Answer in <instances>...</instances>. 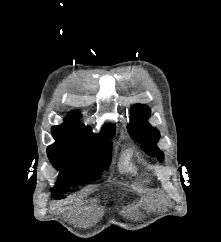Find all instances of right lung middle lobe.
<instances>
[{"label":"right lung middle lobe","mask_w":221,"mask_h":242,"mask_svg":"<svg viewBox=\"0 0 221 242\" xmlns=\"http://www.w3.org/2000/svg\"><path fill=\"white\" fill-rule=\"evenodd\" d=\"M55 143L47 148L48 158L59 173L53 197L62 199L70 185H84L108 169L113 136L89 139L77 134L52 132Z\"/></svg>","instance_id":"obj_1"}]
</instances>
